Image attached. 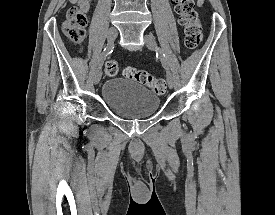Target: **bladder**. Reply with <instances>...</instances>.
<instances>
[{
    "instance_id": "bladder-1",
    "label": "bladder",
    "mask_w": 275,
    "mask_h": 215,
    "mask_svg": "<svg viewBox=\"0 0 275 215\" xmlns=\"http://www.w3.org/2000/svg\"><path fill=\"white\" fill-rule=\"evenodd\" d=\"M101 98L112 114L123 119H142L157 113L159 95L140 83L109 78L101 89Z\"/></svg>"
}]
</instances>
